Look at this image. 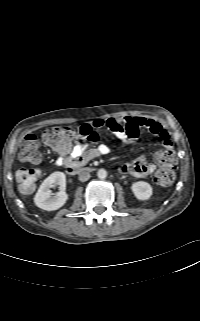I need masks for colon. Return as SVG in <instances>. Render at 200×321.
Segmentation results:
<instances>
[{"label":"colon","instance_id":"obj_1","mask_svg":"<svg viewBox=\"0 0 200 321\" xmlns=\"http://www.w3.org/2000/svg\"><path fill=\"white\" fill-rule=\"evenodd\" d=\"M78 138L80 143L85 141L97 142L100 137L95 131H84L82 128L79 133L67 126H55L48 128L43 133L44 142L59 151L65 150L71 140ZM19 157L23 162L36 164L40 160L39 140L33 134L25 136ZM158 169L154 179L159 186H169L176 177L177 161L173 151H164L156 157ZM40 176L37 168H22L16 178L20 188L24 192H31Z\"/></svg>","mask_w":200,"mask_h":321}]
</instances>
